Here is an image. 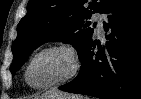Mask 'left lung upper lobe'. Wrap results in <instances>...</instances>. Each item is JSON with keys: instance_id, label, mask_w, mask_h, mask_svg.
<instances>
[{"instance_id": "left-lung-upper-lobe-1", "label": "left lung upper lobe", "mask_w": 141, "mask_h": 99, "mask_svg": "<svg viewBox=\"0 0 141 99\" xmlns=\"http://www.w3.org/2000/svg\"><path fill=\"white\" fill-rule=\"evenodd\" d=\"M115 1L29 0L27 14L17 26L18 36L12 46V75L22 67L35 48L47 41L72 44L81 58L92 41L94 31L85 19L96 12L104 13Z\"/></svg>"}]
</instances>
